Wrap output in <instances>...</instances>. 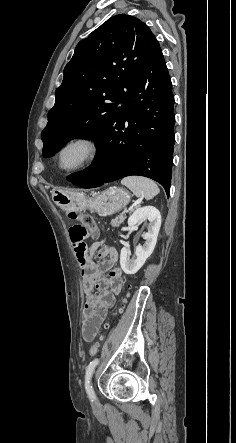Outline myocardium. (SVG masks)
Wrapping results in <instances>:
<instances>
[{
    "label": "myocardium",
    "instance_id": "f54148a6",
    "mask_svg": "<svg viewBox=\"0 0 236 443\" xmlns=\"http://www.w3.org/2000/svg\"><path fill=\"white\" fill-rule=\"evenodd\" d=\"M73 145H82L86 149V155L84 159L77 165L72 167H64L62 165V157L64 152ZM100 154V144L96 137L91 134H79L66 140L58 150L57 153V165L60 170L73 173L82 171L91 166L98 158Z\"/></svg>",
    "mask_w": 236,
    "mask_h": 443
}]
</instances>
